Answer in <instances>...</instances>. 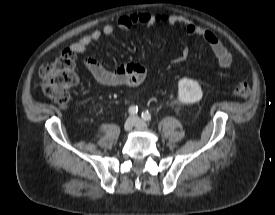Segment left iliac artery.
I'll return each instance as SVG.
<instances>
[{
  "instance_id": "44dca946",
  "label": "left iliac artery",
  "mask_w": 275,
  "mask_h": 215,
  "mask_svg": "<svg viewBox=\"0 0 275 215\" xmlns=\"http://www.w3.org/2000/svg\"><path fill=\"white\" fill-rule=\"evenodd\" d=\"M142 119H144L145 121H150L151 120V115L148 111H144L141 114Z\"/></svg>"
}]
</instances>
